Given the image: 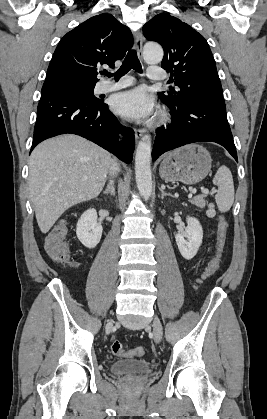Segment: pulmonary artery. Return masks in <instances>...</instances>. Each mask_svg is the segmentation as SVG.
<instances>
[{
  "label": "pulmonary artery",
  "instance_id": "obj_1",
  "mask_svg": "<svg viewBox=\"0 0 267 419\" xmlns=\"http://www.w3.org/2000/svg\"><path fill=\"white\" fill-rule=\"evenodd\" d=\"M148 77L152 80H162L165 78L164 71L159 67L151 66L148 69ZM133 83V80L131 78H122L118 80L117 82H111V81H103L98 86V91L100 93L110 92L114 90H118L124 87H127Z\"/></svg>",
  "mask_w": 267,
  "mask_h": 419
}]
</instances>
